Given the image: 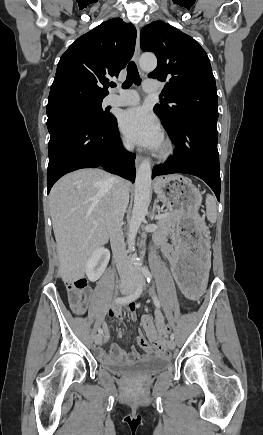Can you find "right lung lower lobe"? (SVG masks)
I'll use <instances>...</instances> for the list:
<instances>
[{
	"label": "right lung lower lobe",
	"instance_id": "right-lung-lower-lobe-1",
	"mask_svg": "<svg viewBox=\"0 0 263 435\" xmlns=\"http://www.w3.org/2000/svg\"><path fill=\"white\" fill-rule=\"evenodd\" d=\"M50 133L47 188L66 173L80 168L103 167L135 181V154L121 146L117 120L100 122L81 115L62 116L47 123Z\"/></svg>",
	"mask_w": 263,
	"mask_h": 435
}]
</instances>
